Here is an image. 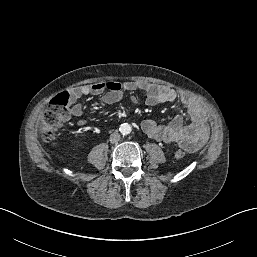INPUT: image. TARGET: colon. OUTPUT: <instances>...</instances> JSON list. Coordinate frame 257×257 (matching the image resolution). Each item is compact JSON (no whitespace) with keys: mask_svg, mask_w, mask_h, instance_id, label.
Wrapping results in <instances>:
<instances>
[{"mask_svg":"<svg viewBox=\"0 0 257 257\" xmlns=\"http://www.w3.org/2000/svg\"><path fill=\"white\" fill-rule=\"evenodd\" d=\"M70 117V94L60 92L55 95L42 112L39 130L40 135L45 141L55 139L57 131L67 122ZM186 156L185 150H177L174 154V160H182Z\"/></svg>","mask_w":257,"mask_h":257,"instance_id":"5ec220e1","label":"colon"}]
</instances>
